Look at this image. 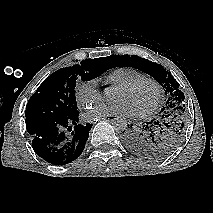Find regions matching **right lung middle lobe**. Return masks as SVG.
I'll use <instances>...</instances> for the list:
<instances>
[{
  "instance_id": "right-lung-middle-lobe-1",
  "label": "right lung middle lobe",
  "mask_w": 213,
  "mask_h": 213,
  "mask_svg": "<svg viewBox=\"0 0 213 213\" xmlns=\"http://www.w3.org/2000/svg\"><path fill=\"white\" fill-rule=\"evenodd\" d=\"M108 59H87L80 65L57 70L45 79L29 99L25 117L31 134L42 124L78 113L75 86L78 79L89 81L110 69Z\"/></svg>"
}]
</instances>
